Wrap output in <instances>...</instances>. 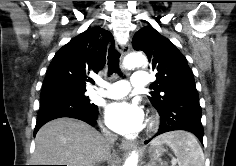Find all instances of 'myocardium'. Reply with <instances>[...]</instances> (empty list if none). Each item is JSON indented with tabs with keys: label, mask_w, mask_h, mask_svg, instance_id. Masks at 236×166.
Listing matches in <instances>:
<instances>
[{
	"label": "myocardium",
	"mask_w": 236,
	"mask_h": 166,
	"mask_svg": "<svg viewBox=\"0 0 236 166\" xmlns=\"http://www.w3.org/2000/svg\"><path fill=\"white\" fill-rule=\"evenodd\" d=\"M157 121L156 118L150 117L148 120V130L152 131L156 127Z\"/></svg>",
	"instance_id": "1"
}]
</instances>
